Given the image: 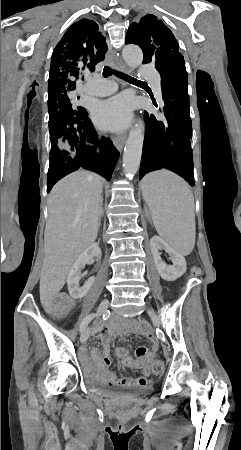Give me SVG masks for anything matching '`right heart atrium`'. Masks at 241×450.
Listing matches in <instances>:
<instances>
[{
    "mask_svg": "<svg viewBox=\"0 0 241 450\" xmlns=\"http://www.w3.org/2000/svg\"><path fill=\"white\" fill-rule=\"evenodd\" d=\"M99 153H100L101 155H106V154L108 153V148H107L106 146H101V147L99 148Z\"/></svg>",
    "mask_w": 241,
    "mask_h": 450,
    "instance_id": "d8ad5b80",
    "label": "right heart atrium"
}]
</instances>
